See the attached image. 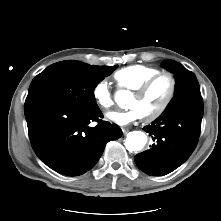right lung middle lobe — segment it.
Segmentation results:
<instances>
[{
	"label": "right lung middle lobe",
	"mask_w": 221,
	"mask_h": 221,
	"mask_svg": "<svg viewBox=\"0 0 221 221\" xmlns=\"http://www.w3.org/2000/svg\"><path fill=\"white\" fill-rule=\"evenodd\" d=\"M116 67L76 60L52 64L32 80L26 102L53 101L79 109L98 107L94 89Z\"/></svg>",
	"instance_id": "dd1d6c3e"
}]
</instances>
